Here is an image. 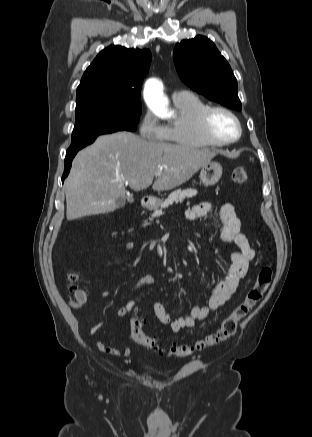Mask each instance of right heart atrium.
<instances>
[{
    "label": "right heart atrium",
    "instance_id": "1",
    "mask_svg": "<svg viewBox=\"0 0 312 437\" xmlns=\"http://www.w3.org/2000/svg\"><path fill=\"white\" fill-rule=\"evenodd\" d=\"M139 133L145 140L163 141L165 138V127L152 112L147 111L140 120Z\"/></svg>",
    "mask_w": 312,
    "mask_h": 437
}]
</instances>
